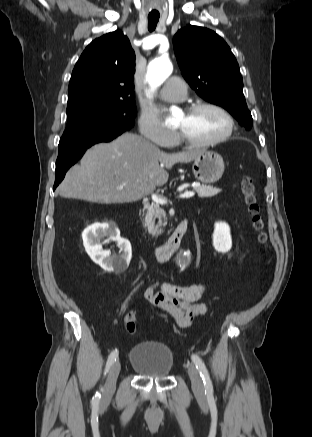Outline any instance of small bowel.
I'll list each match as a JSON object with an SVG mask.
<instances>
[{"label": "small bowel", "instance_id": "small-bowel-1", "mask_svg": "<svg viewBox=\"0 0 312 437\" xmlns=\"http://www.w3.org/2000/svg\"><path fill=\"white\" fill-rule=\"evenodd\" d=\"M205 291L202 285H176L157 281L143 293L151 305L170 315L182 328L190 327L194 319L207 311V306L200 302Z\"/></svg>", "mask_w": 312, "mask_h": 437}]
</instances>
